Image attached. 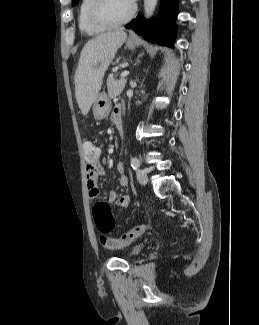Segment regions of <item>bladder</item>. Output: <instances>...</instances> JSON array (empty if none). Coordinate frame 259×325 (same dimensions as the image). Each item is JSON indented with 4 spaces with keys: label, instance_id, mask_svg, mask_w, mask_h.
<instances>
[{
    "label": "bladder",
    "instance_id": "bladder-1",
    "mask_svg": "<svg viewBox=\"0 0 259 325\" xmlns=\"http://www.w3.org/2000/svg\"><path fill=\"white\" fill-rule=\"evenodd\" d=\"M142 249H143V244H137L128 250L127 255L130 257L136 256L141 252Z\"/></svg>",
    "mask_w": 259,
    "mask_h": 325
}]
</instances>
